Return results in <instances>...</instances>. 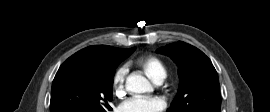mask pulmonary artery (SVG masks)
I'll list each match as a JSON object with an SVG mask.
<instances>
[{"label":"pulmonary artery","instance_id":"e3ab8cb5","mask_svg":"<svg viewBox=\"0 0 270 112\" xmlns=\"http://www.w3.org/2000/svg\"><path fill=\"white\" fill-rule=\"evenodd\" d=\"M163 81V79H158L157 81H155L157 84H161Z\"/></svg>","mask_w":270,"mask_h":112}]
</instances>
